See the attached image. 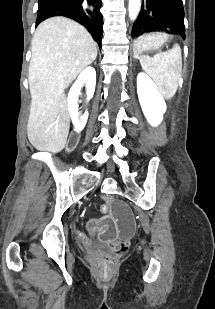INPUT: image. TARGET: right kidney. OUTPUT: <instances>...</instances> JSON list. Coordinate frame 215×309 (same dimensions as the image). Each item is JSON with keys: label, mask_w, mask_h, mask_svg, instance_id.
I'll return each mask as SVG.
<instances>
[{"label": "right kidney", "mask_w": 215, "mask_h": 309, "mask_svg": "<svg viewBox=\"0 0 215 309\" xmlns=\"http://www.w3.org/2000/svg\"><path fill=\"white\" fill-rule=\"evenodd\" d=\"M84 82H86V94L87 100H89V98H92L94 94L96 84V70L93 68V66H87V68H84L69 90L68 108L76 130H82V128H84L89 114L88 110H86V112H84V114H82V116L79 118L77 100L79 94H81V86L84 84ZM75 112L76 118L74 116Z\"/></svg>", "instance_id": "1"}]
</instances>
